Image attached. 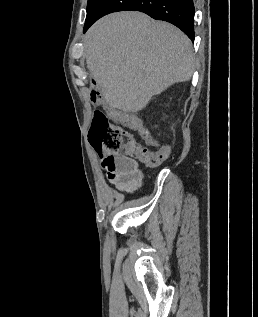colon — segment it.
Returning a JSON list of instances; mask_svg holds the SVG:
<instances>
[{
	"instance_id": "5ec220e1",
	"label": "colon",
	"mask_w": 258,
	"mask_h": 317,
	"mask_svg": "<svg viewBox=\"0 0 258 317\" xmlns=\"http://www.w3.org/2000/svg\"><path fill=\"white\" fill-rule=\"evenodd\" d=\"M90 99L94 104L101 102L106 105L98 91L93 90ZM118 114H107L100 110L94 112L88 133L91 146L97 152L135 158L147 166L160 165L165 158L163 153L144 148L132 134L112 124Z\"/></svg>"
}]
</instances>
